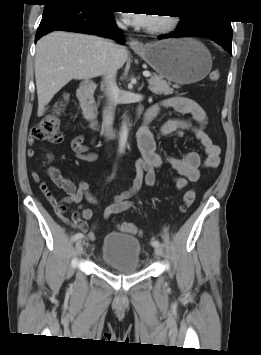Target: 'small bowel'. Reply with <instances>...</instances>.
Returning <instances> with one entry per match:
<instances>
[{
	"instance_id": "c3829d8e",
	"label": "small bowel",
	"mask_w": 261,
	"mask_h": 355,
	"mask_svg": "<svg viewBox=\"0 0 261 355\" xmlns=\"http://www.w3.org/2000/svg\"><path fill=\"white\" fill-rule=\"evenodd\" d=\"M163 108H171L183 116L176 117L166 121L159 129L158 136L163 138L170 135L178 137L184 136L186 133H191L201 143L205 152V159L201 160L199 154L194 151L185 153L182 157H162L157 152L156 136L148 129V127L141 128L138 131V146L141 152V158L136 162V176L133 184L127 190L115 195L109 204L105 207L103 216L109 219L113 215L122 213L133 206L130 201L135 193L139 191L142 184L149 187L154 186L156 182V169L165 165L171 166L178 176L174 178V184L178 189H184L189 182H195L200 178V169L207 170L218 167L220 163L221 148L215 144L210 136L206 133L205 127L207 125V115L204 109L194 100L177 96L168 98L158 104L149 107L144 114V119L147 122L152 121L159 111ZM84 136L78 135L71 141V148L77 158L85 161H95L97 154L89 151V148L84 145ZM33 142L32 138L29 143ZM28 157H33L35 151L29 149L27 151ZM49 163L54 159L52 153L47 154ZM49 179L60 189H62L66 196L60 200V204L54 200L51 191L45 182L41 181L40 175L36 171H32V179L39 183L40 189L56 204L57 216L67 225L86 233L90 240L95 238V226H90L88 221L92 218L93 212L91 209L84 207L81 202L85 199L92 205H98V200L90 193L87 183H80L75 185L69 179L62 176L60 170L54 166H49L47 169ZM66 204H76L79 211H72L70 218L65 216Z\"/></svg>"
}]
</instances>
